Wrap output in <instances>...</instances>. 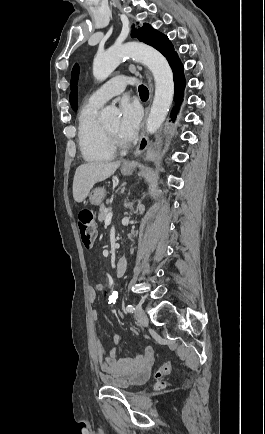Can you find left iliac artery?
I'll return each mask as SVG.
<instances>
[{"label":"left iliac artery","mask_w":265,"mask_h":434,"mask_svg":"<svg viewBox=\"0 0 265 434\" xmlns=\"http://www.w3.org/2000/svg\"><path fill=\"white\" fill-rule=\"evenodd\" d=\"M126 310H127L128 312H130V313H133L134 310H135V308H134L132 305H128V306L126 307Z\"/></svg>","instance_id":"44dca946"}]
</instances>
